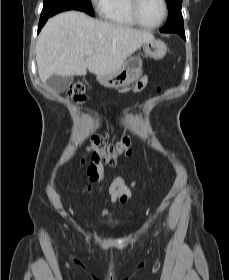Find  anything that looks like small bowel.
Listing matches in <instances>:
<instances>
[{
	"mask_svg": "<svg viewBox=\"0 0 229 280\" xmlns=\"http://www.w3.org/2000/svg\"><path fill=\"white\" fill-rule=\"evenodd\" d=\"M147 79L143 77L140 82L136 83L133 86V91L138 92L140 91L146 83ZM133 184L132 186H134ZM108 193L111 196L112 200L120 199L122 201H125L127 197L131 193V189L127 186L126 181L123 177L116 178L112 185L108 188ZM109 213L108 210L103 211V215H107Z\"/></svg>",
	"mask_w": 229,
	"mask_h": 280,
	"instance_id": "small-bowel-1",
	"label": "small bowel"
}]
</instances>
